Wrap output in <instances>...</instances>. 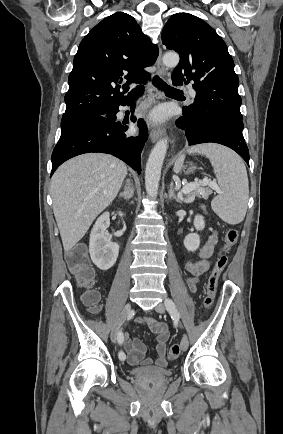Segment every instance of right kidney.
Segmentation results:
<instances>
[{"instance_id": "right-kidney-1", "label": "right kidney", "mask_w": 283, "mask_h": 434, "mask_svg": "<svg viewBox=\"0 0 283 434\" xmlns=\"http://www.w3.org/2000/svg\"><path fill=\"white\" fill-rule=\"evenodd\" d=\"M119 215L123 214L119 212ZM110 226V215L108 212L102 214L95 222L89 243V253L93 263L101 270L110 269L116 262L119 253V245L111 241L106 232Z\"/></svg>"}]
</instances>
